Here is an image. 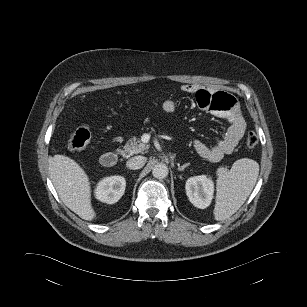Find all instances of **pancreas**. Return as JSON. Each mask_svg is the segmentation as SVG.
I'll return each instance as SVG.
<instances>
[{
    "instance_id": "obj_1",
    "label": "pancreas",
    "mask_w": 307,
    "mask_h": 307,
    "mask_svg": "<svg viewBox=\"0 0 307 307\" xmlns=\"http://www.w3.org/2000/svg\"><path fill=\"white\" fill-rule=\"evenodd\" d=\"M124 150L119 152L123 157L128 158L134 154L144 153L148 149V145L143 143L139 138H131L124 146Z\"/></svg>"
}]
</instances>
